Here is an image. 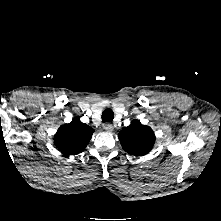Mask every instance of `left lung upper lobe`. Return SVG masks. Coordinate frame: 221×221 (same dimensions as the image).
Returning <instances> with one entry per match:
<instances>
[{
	"instance_id": "left-lung-upper-lobe-1",
	"label": "left lung upper lobe",
	"mask_w": 221,
	"mask_h": 221,
	"mask_svg": "<svg viewBox=\"0 0 221 221\" xmlns=\"http://www.w3.org/2000/svg\"><path fill=\"white\" fill-rule=\"evenodd\" d=\"M119 140L123 149L129 154L143 156L150 152L155 142V134L148 126L133 120L128 127L119 133Z\"/></svg>"
}]
</instances>
